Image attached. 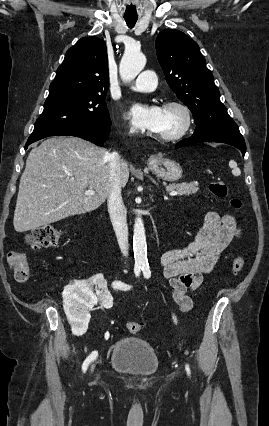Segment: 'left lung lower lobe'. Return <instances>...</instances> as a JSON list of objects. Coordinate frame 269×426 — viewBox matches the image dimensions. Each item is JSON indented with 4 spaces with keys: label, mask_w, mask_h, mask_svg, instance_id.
I'll list each match as a JSON object with an SVG mask.
<instances>
[{
    "label": "left lung lower lobe",
    "mask_w": 269,
    "mask_h": 426,
    "mask_svg": "<svg viewBox=\"0 0 269 426\" xmlns=\"http://www.w3.org/2000/svg\"><path fill=\"white\" fill-rule=\"evenodd\" d=\"M202 142H221L238 148L244 157L246 145L237 124L228 115L215 117L209 122L196 125L194 134L176 144V148Z\"/></svg>",
    "instance_id": "obj_1"
}]
</instances>
